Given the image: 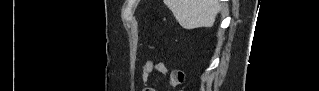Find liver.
Segmentation results:
<instances>
[{"mask_svg":"<svg viewBox=\"0 0 319 91\" xmlns=\"http://www.w3.org/2000/svg\"><path fill=\"white\" fill-rule=\"evenodd\" d=\"M185 29L212 27L221 9L218 0H164Z\"/></svg>","mask_w":319,"mask_h":91,"instance_id":"1","label":"liver"}]
</instances>
